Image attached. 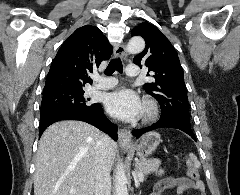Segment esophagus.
<instances>
[{
    "mask_svg": "<svg viewBox=\"0 0 240 195\" xmlns=\"http://www.w3.org/2000/svg\"><path fill=\"white\" fill-rule=\"evenodd\" d=\"M127 56V50L125 44L117 45L114 48V57H121L125 59ZM118 142L123 148H130L132 145V134L129 130L121 129L118 132Z\"/></svg>",
    "mask_w": 240,
    "mask_h": 195,
    "instance_id": "34e87169",
    "label": "esophagus"
}]
</instances>
